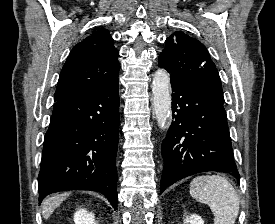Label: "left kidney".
<instances>
[{"label":"left kidney","mask_w":275,"mask_h":224,"mask_svg":"<svg viewBox=\"0 0 275 224\" xmlns=\"http://www.w3.org/2000/svg\"><path fill=\"white\" fill-rule=\"evenodd\" d=\"M184 224H204V221L200 216L193 214L185 219Z\"/></svg>","instance_id":"obj_1"}]
</instances>
